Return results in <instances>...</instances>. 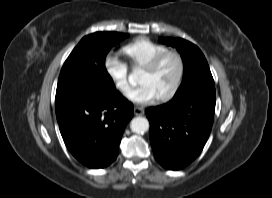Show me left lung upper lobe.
Listing matches in <instances>:
<instances>
[{
	"instance_id": "left-lung-upper-lobe-1",
	"label": "left lung upper lobe",
	"mask_w": 272,
	"mask_h": 198,
	"mask_svg": "<svg viewBox=\"0 0 272 198\" xmlns=\"http://www.w3.org/2000/svg\"><path fill=\"white\" fill-rule=\"evenodd\" d=\"M159 42L175 47L183 59L184 77L176 94L194 88L215 87L208 63L196 45L181 38H160Z\"/></svg>"
}]
</instances>
